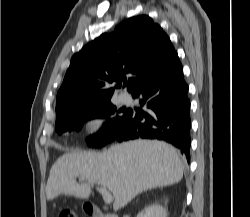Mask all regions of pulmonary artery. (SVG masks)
<instances>
[{
  "mask_svg": "<svg viewBox=\"0 0 250 217\" xmlns=\"http://www.w3.org/2000/svg\"><path fill=\"white\" fill-rule=\"evenodd\" d=\"M120 102L122 103H128L130 101V96L127 95V94H124V93H121L119 96H118Z\"/></svg>",
  "mask_w": 250,
  "mask_h": 217,
  "instance_id": "pulmonary-artery-1",
  "label": "pulmonary artery"
}]
</instances>
